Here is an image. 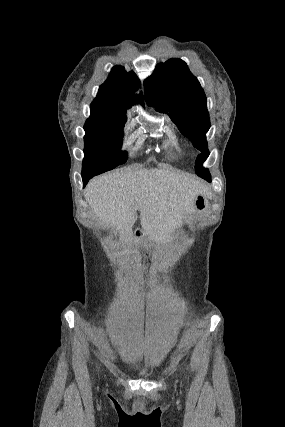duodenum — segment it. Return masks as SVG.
I'll use <instances>...</instances> for the list:
<instances>
[{"instance_id": "1", "label": "duodenum", "mask_w": 285, "mask_h": 427, "mask_svg": "<svg viewBox=\"0 0 285 427\" xmlns=\"http://www.w3.org/2000/svg\"><path fill=\"white\" fill-rule=\"evenodd\" d=\"M143 237V233L140 229H137L136 231V241H140Z\"/></svg>"}]
</instances>
